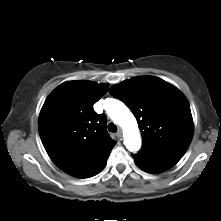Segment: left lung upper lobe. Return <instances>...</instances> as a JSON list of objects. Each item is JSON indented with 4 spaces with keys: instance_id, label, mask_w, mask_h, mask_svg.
I'll list each match as a JSON object with an SVG mask.
<instances>
[{
    "instance_id": "1",
    "label": "left lung upper lobe",
    "mask_w": 221,
    "mask_h": 221,
    "mask_svg": "<svg viewBox=\"0 0 221 221\" xmlns=\"http://www.w3.org/2000/svg\"><path fill=\"white\" fill-rule=\"evenodd\" d=\"M110 94L134 113L142 133L139 153L148 156L183 155L193 136V119L186 97L170 83L140 76L113 85Z\"/></svg>"
}]
</instances>
